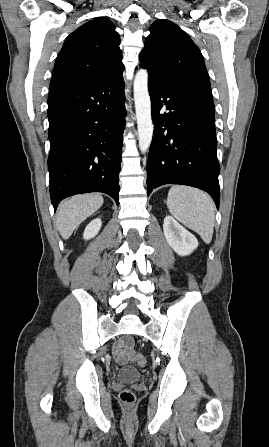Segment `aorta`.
<instances>
[{
	"label": "aorta",
	"instance_id": "1",
	"mask_svg": "<svg viewBox=\"0 0 269 447\" xmlns=\"http://www.w3.org/2000/svg\"><path fill=\"white\" fill-rule=\"evenodd\" d=\"M134 102L137 118L138 146L146 154L153 138L154 126L151 118V100L148 92V72L139 70L135 76Z\"/></svg>",
	"mask_w": 269,
	"mask_h": 447
}]
</instances>
